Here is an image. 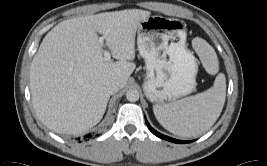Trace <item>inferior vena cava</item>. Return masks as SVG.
Here are the masks:
<instances>
[{"label": "inferior vena cava", "mask_w": 267, "mask_h": 166, "mask_svg": "<svg viewBox=\"0 0 267 166\" xmlns=\"http://www.w3.org/2000/svg\"><path fill=\"white\" fill-rule=\"evenodd\" d=\"M105 89L109 95H113L119 91L120 86L117 82L109 81L106 83Z\"/></svg>", "instance_id": "602c4592"}]
</instances>
